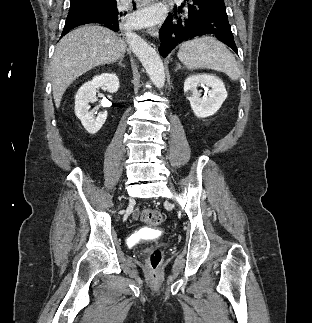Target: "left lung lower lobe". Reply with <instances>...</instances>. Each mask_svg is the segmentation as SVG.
I'll list each match as a JSON object with an SVG mask.
<instances>
[{
    "instance_id": "0a47b994",
    "label": "left lung lower lobe",
    "mask_w": 312,
    "mask_h": 323,
    "mask_svg": "<svg viewBox=\"0 0 312 323\" xmlns=\"http://www.w3.org/2000/svg\"><path fill=\"white\" fill-rule=\"evenodd\" d=\"M188 1V0H184ZM174 9L159 30L163 57L179 43L197 36L216 37L237 53L224 0H192Z\"/></svg>"
}]
</instances>
